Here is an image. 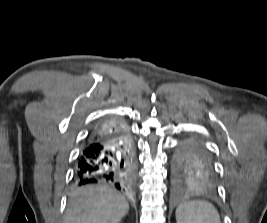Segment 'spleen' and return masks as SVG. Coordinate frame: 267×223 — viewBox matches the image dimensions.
<instances>
[{"instance_id":"obj_1","label":"spleen","mask_w":267,"mask_h":223,"mask_svg":"<svg viewBox=\"0 0 267 223\" xmlns=\"http://www.w3.org/2000/svg\"><path fill=\"white\" fill-rule=\"evenodd\" d=\"M177 223H221L218 211L207 201L194 200L176 209Z\"/></svg>"}]
</instances>
